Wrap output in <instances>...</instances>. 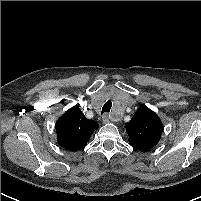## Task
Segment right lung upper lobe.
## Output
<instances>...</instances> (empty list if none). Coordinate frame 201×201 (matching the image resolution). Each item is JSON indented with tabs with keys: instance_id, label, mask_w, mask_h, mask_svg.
<instances>
[{
	"instance_id": "1",
	"label": "right lung upper lobe",
	"mask_w": 201,
	"mask_h": 201,
	"mask_svg": "<svg viewBox=\"0 0 201 201\" xmlns=\"http://www.w3.org/2000/svg\"><path fill=\"white\" fill-rule=\"evenodd\" d=\"M98 127L97 122L88 120L79 107L74 106L56 123L57 141L61 147L70 151L82 149Z\"/></svg>"
}]
</instances>
